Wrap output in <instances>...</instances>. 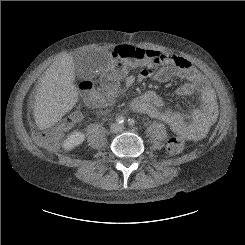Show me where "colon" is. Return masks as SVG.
Masks as SVG:
<instances>
[{"label":"colon","mask_w":245,"mask_h":245,"mask_svg":"<svg viewBox=\"0 0 245 245\" xmlns=\"http://www.w3.org/2000/svg\"><path fill=\"white\" fill-rule=\"evenodd\" d=\"M144 58L142 50L133 45H123L120 54L111 60L110 69L107 74L96 80L83 81L80 85L81 91L85 95L89 105L96 107L99 100L97 94H111L115 89V78L123 76L131 64H135ZM161 61H158L160 64ZM77 113L65 116L59 124L43 129L36 134L37 142L43 147L53 148L58 145L60 139L67 129L76 123ZM185 139L181 134L173 135L167 142V150L171 154H179L183 151Z\"/></svg>","instance_id":"1"}]
</instances>
